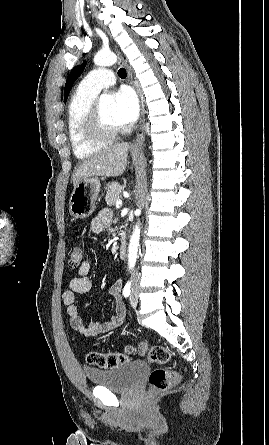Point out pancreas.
I'll return each instance as SVG.
<instances>
[{"label":"pancreas","mask_w":269,"mask_h":445,"mask_svg":"<svg viewBox=\"0 0 269 445\" xmlns=\"http://www.w3.org/2000/svg\"><path fill=\"white\" fill-rule=\"evenodd\" d=\"M121 190L122 186L117 182H113L108 186V191L105 197L107 205H115L116 201L121 197Z\"/></svg>","instance_id":"cf45deb5"}]
</instances>
